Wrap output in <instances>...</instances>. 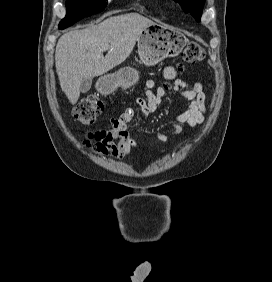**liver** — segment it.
<instances>
[{"instance_id": "liver-1", "label": "liver", "mask_w": 272, "mask_h": 282, "mask_svg": "<svg viewBox=\"0 0 272 282\" xmlns=\"http://www.w3.org/2000/svg\"><path fill=\"white\" fill-rule=\"evenodd\" d=\"M152 24L153 21L138 13H127L62 35L56 46L55 66L69 102L77 103L84 81L124 62L138 37ZM105 45H109V51L104 57Z\"/></svg>"}]
</instances>
